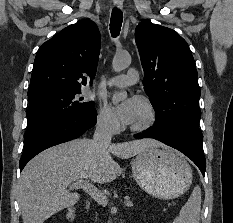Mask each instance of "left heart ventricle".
<instances>
[{
    "label": "left heart ventricle",
    "mask_w": 233,
    "mask_h": 223,
    "mask_svg": "<svg viewBox=\"0 0 233 223\" xmlns=\"http://www.w3.org/2000/svg\"><path fill=\"white\" fill-rule=\"evenodd\" d=\"M148 122H149V114L144 104L141 101V110H140L139 116L132 125H145Z\"/></svg>",
    "instance_id": "b2bd125f"
}]
</instances>
